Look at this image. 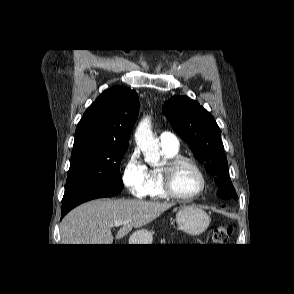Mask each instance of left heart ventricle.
<instances>
[{
    "label": "left heart ventricle",
    "mask_w": 294,
    "mask_h": 294,
    "mask_svg": "<svg viewBox=\"0 0 294 294\" xmlns=\"http://www.w3.org/2000/svg\"><path fill=\"white\" fill-rule=\"evenodd\" d=\"M173 185L178 193L188 196L199 190L201 180L197 172L190 165L184 164L176 170Z\"/></svg>",
    "instance_id": "left-heart-ventricle-1"
}]
</instances>
